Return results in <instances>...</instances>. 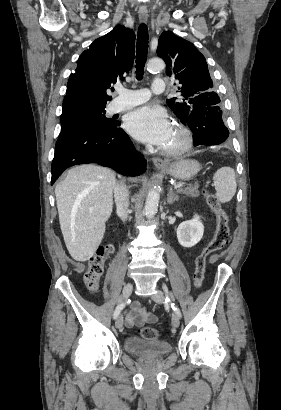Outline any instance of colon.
Segmentation results:
<instances>
[{
    "mask_svg": "<svg viewBox=\"0 0 281 410\" xmlns=\"http://www.w3.org/2000/svg\"><path fill=\"white\" fill-rule=\"evenodd\" d=\"M204 195L210 209L217 216V230L213 239L196 259V269L194 273L195 287L200 288L204 281L207 258L222 250L230 241L229 218L222 209L218 197L209 189H204ZM112 245L100 246L96 253L90 258L88 268L84 274V281L87 288L96 292L99 289L100 279L104 271V263L113 253ZM145 339L156 340L161 337V331L153 327H143L140 330Z\"/></svg>",
    "mask_w": 281,
    "mask_h": 410,
    "instance_id": "5ec220e1",
    "label": "colon"
}]
</instances>
